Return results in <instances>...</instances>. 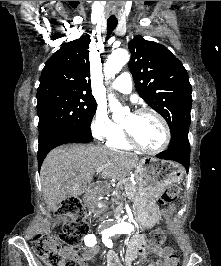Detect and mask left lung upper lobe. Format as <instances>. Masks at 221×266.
<instances>
[{
	"mask_svg": "<svg viewBox=\"0 0 221 266\" xmlns=\"http://www.w3.org/2000/svg\"><path fill=\"white\" fill-rule=\"evenodd\" d=\"M129 70L144 101L167 121L171 141L187 136L192 90L183 64L165 46L135 36L128 44Z\"/></svg>",
	"mask_w": 221,
	"mask_h": 266,
	"instance_id": "left-lung-upper-lobe-1",
	"label": "left lung upper lobe"
}]
</instances>
